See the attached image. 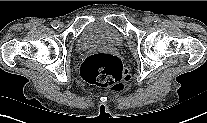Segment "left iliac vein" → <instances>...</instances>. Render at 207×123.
<instances>
[{
  "instance_id": "4c4485c4",
  "label": "left iliac vein",
  "mask_w": 207,
  "mask_h": 123,
  "mask_svg": "<svg viewBox=\"0 0 207 123\" xmlns=\"http://www.w3.org/2000/svg\"><path fill=\"white\" fill-rule=\"evenodd\" d=\"M144 23L149 24L151 22V19L148 17L143 18Z\"/></svg>"
}]
</instances>
